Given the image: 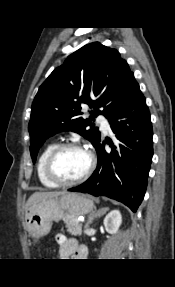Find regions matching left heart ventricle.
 Listing matches in <instances>:
<instances>
[{
  "mask_svg": "<svg viewBox=\"0 0 175 287\" xmlns=\"http://www.w3.org/2000/svg\"><path fill=\"white\" fill-rule=\"evenodd\" d=\"M89 156L80 149H65L54 162L56 175L63 180H74L80 177L88 168Z\"/></svg>",
  "mask_w": 175,
  "mask_h": 287,
  "instance_id": "obj_1",
  "label": "left heart ventricle"
}]
</instances>
